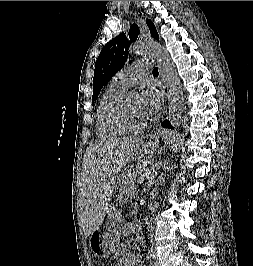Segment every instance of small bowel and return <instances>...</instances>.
Listing matches in <instances>:
<instances>
[{
	"label": "small bowel",
	"instance_id": "small-bowel-1",
	"mask_svg": "<svg viewBox=\"0 0 253 266\" xmlns=\"http://www.w3.org/2000/svg\"><path fill=\"white\" fill-rule=\"evenodd\" d=\"M118 256L120 258L117 266H142L138 258L131 253L120 252Z\"/></svg>",
	"mask_w": 253,
	"mask_h": 266
}]
</instances>
